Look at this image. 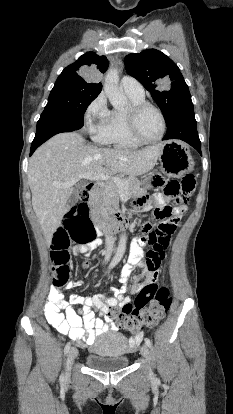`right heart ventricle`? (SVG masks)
Listing matches in <instances>:
<instances>
[{
	"label": "right heart ventricle",
	"instance_id": "obj_1",
	"mask_svg": "<svg viewBox=\"0 0 233 414\" xmlns=\"http://www.w3.org/2000/svg\"><path fill=\"white\" fill-rule=\"evenodd\" d=\"M127 94V93H126ZM132 104H138L145 102L144 96H135L127 94ZM124 111L113 110L110 112L107 124H106V140L107 143L118 149H136L142 145V143L135 140L129 133Z\"/></svg>",
	"mask_w": 233,
	"mask_h": 414
}]
</instances>
